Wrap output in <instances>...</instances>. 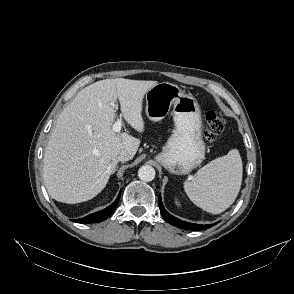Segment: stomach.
Masks as SVG:
<instances>
[{
	"instance_id": "obj_1",
	"label": "stomach",
	"mask_w": 294,
	"mask_h": 294,
	"mask_svg": "<svg viewBox=\"0 0 294 294\" xmlns=\"http://www.w3.org/2000/svg\"><path fill=\"white\" fill-rule=\"evenodd\" d=\"M145 99V113L152 121L164 119L173 108L175 128L156 160L173 174H188L202 163L206 150L197 100L169 82L150 88Z\"/></svg>"
}]
</instances>
